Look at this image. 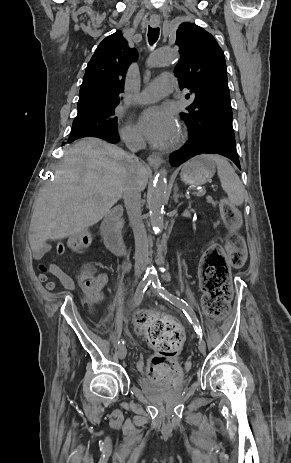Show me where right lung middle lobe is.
<instances>
[{
  "mask_svg": "<svg viewBox=\"0 0 291 463\" xmlns=\"http://www.w3.org/2000/svg\"><path fill=\"white\" fill-rule=\"evenodd\" d=\"M115 107L102 108L96 112L74 119L69 140L79 139L96 133H116L117 117Z\"/></svg>",
  "mask_w": 291,
  "mask_h": 463,
  "instance_id": "dd1d6c3e",
  "label": "right lung middle lobe"
}]
</instances>
